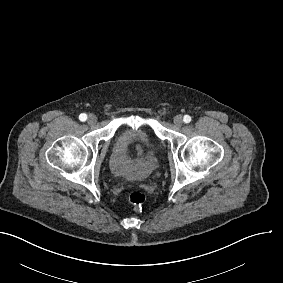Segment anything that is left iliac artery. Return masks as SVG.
<instances>
[{"mask_svg": "<svg viewBox=\"0 0 283 283\" xmlns=\"http://www.w3.org/2000/svg\"><path fill=\"white\" fill-rule=\"evenodd\" d=\"M183 121L185 123H189L191 121V117L189 115H185Z\"/></svg>", "mask_w": 283, "mask_h": 283, "instance_id": "obj_1", "label": "left iliac artery"}]
</instances>
